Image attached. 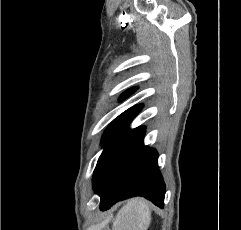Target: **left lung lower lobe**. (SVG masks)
Returning <instances> with one entry per match:
<instances>
[{
	"label": "left lung lower lobe",
	"mask_w": 241,
	"mask_h": 230,
	"mask_svg": "<svg viewBox=\"0 0 241 230\" xmlns=\"http://www.w3.org/2000/svg\"><path fill=\"white\" fill-rule=\"evenodd\" d=\"M144 135L143 127H125L105 143L93 175L102 211L136 195L164 206L165 184L158 169V153L143 145Z\"/></svg>",
	"instance_id": "0a47b994"
}]
</instances>
